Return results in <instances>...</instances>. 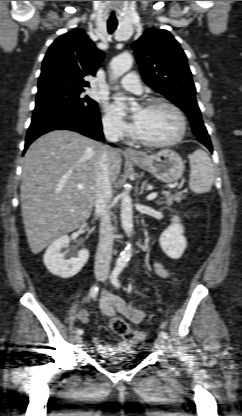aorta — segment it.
<instances>
[{
    "mask_svg": "<svg viewBox=\"0 0 242 416\" xmlns=\"http://www.w3.org/2000/svg\"><path fill=\"white\" fill-rule=\"evenodd\" d=\"M132 57L129 53H123L112 59L110 67L112 70V76L114 79L119 78L127 71L130 70L132 66ZM120 99L125 100V97H120ZM121 224L123 230L127 235H130L133 231V211H132V200L129 194V191L125 189L121 193ZM132 256V248L128 245L124 251L120 253L119 258L116 261L118 266H125Z\"/></svg>",
    "mask_w": 242,
    "mask_h": 416,
    "instance_id": "762f6f07",
    "label": "aorta"
}]
</instances>
